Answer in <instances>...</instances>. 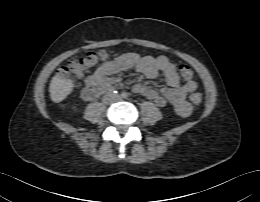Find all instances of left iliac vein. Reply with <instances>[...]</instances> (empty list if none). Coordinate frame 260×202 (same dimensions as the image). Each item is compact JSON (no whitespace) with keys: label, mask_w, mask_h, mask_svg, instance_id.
Segmentation results:
<instances>
[{"label":"left iliac vein","mask_w":260,"mask_h":202,"mask_svg":"<svg viewBox=\"0 0 260 202\" xmlns=\"http://www.w3.org/2000/svg\"><path fill=\"white\" fill-rule=\"evenodd\" d=\"M116 99H121V96H119V95H118V96H116Z\"/></svg>","instance_id":"left-iliac-vein-1"}]
</instances>
